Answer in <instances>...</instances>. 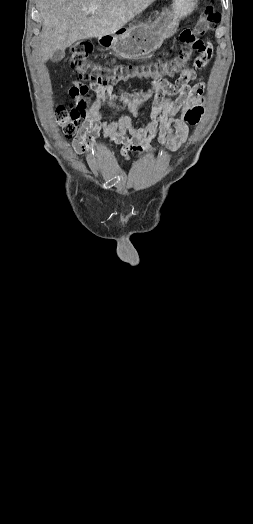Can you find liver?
Returning <instances> with one entry per match:
<instances>
[{
	"mask_svg": "<svg viewBox=\"0 0 253 524\" xmlns=\"http://www.w3.org/2000/svg\"><path fill=\"white\" fill-rule=\"evenodd\" d=\"M155 0H38L42 18L40 52L48 61L56 50L84 38L121 29ZM94 7V10H90Z\"/></svg>",
	"mask_w": 253,
	"mask_h": 524,
	"instance_id": "liver-1",
	"label": "liver"
}]
</instances>
